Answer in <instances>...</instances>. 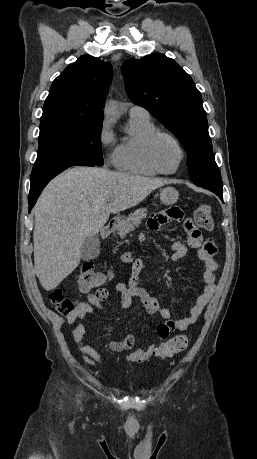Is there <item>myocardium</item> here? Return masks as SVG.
<instances>
[{"label": "myocardium", "instance_id": "obj_1", "mask_svg": "<svg viewBox=\"0 0 257 459\" xmlns=\"http://www.w3.org/2000/svg\"><path fill=\"white\" fill-rule=\"evenodd\" d=\"M162 137H165V138H168L170 139L176 146L177 148L179 149L180 151V160H179V163L177 165V167L172 170V171H166L164 170L159 164L158 162L156 161L155 159V155H154V147H155V144L156 142L158 141V139L162 138ZM145 154H146V158L149 162V164L159 173L161 174H165V175H172V174H175L177 173L180 168L182 167L184 161H185V158H186V151L183 147V145L181 144V142L178 140L177 137H175L173 134L169 133V132H166V131H161V130H156L154 131L147 139L146 141V144H145Z\"/></svg>", "mask_w": 257, "mask_h": 459}]
</instances>
